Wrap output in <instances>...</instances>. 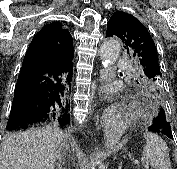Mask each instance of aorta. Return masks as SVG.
<instances>
[{"label": "aorta", "instance_id": "1", "mask_svg": "<svg viewBox=\"0 0 177 169\" xmlns=\"http://www.w3.org/2000/svg\"><path fill=\"white\" fill-rule=\"evenodd\" d=\"M120 50V43L116 39H109L103 42L100 47V57L104 68L108 70L111 69V67L114 65L119 57ZM97 159L98 157L96 156L91 159V165L89 169H95L94 163Z\"/></svg>", "mask_w": 177, "mask_h": 169}]
</instances>
